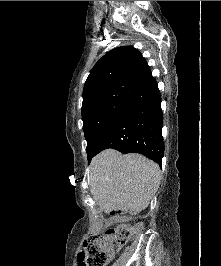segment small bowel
<instances>
[{
    "label": "small bowel",
    "mask_w": 221,
    "mask_h": 266,
    "mask_svg": "<svg viewBox=\"0 0 221 266\" xmlns=\"http://www.w3.org/2000/svg\"><path fill=\"white\" fill-rule=\"evenodd\" d=\"M80 250H83V247H80ZM75 257H77L75 262L76 266H87L85 263L84 252H75Z\"/></svg>",
    "instance_id": "c3829d8e"
}]
</instances>
